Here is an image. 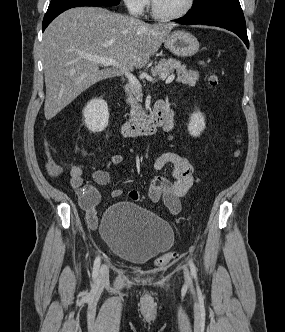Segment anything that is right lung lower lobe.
<instances>
[{
	"instance_id": "right-lung-lower-lobe-1",
	"label": "right lung lower lobe",
	"mask_w": 285,
	"mask_h": 332,
	"mask_svg": "<svg viewBox=\"0 0 285 332\" xmlns=\"http://www.w3.org/2000/svg\"><path fill=\"white\" fill-rule=\"evenodd\" d=\"M78 6H107L100 3L89 2V1H69L51 4L44 16L42 23V31L51 23V21L56 18L60 13L67 9L78 7Z\"/></svg>"
}]
</instances>
